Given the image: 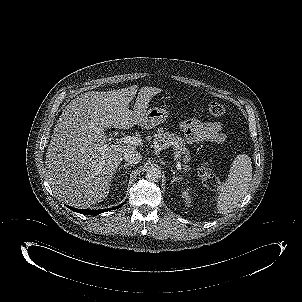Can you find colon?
<instances>
[{
	"label": "colon",
	"instance_id": "colon-1",
	"mask_svg": "<svg viewBox=\"0 0 302 302\" xmlns=\"http://www.w3.org/2000/svg\"><path fill=\"white\" fill-rule=\"evenodd\" d=\"M226 112L223 104L219 102H212L209 105V113L213 117H222ZM200 175L202 177L204 185L209 189H217L220 186L219 179L212 172L208 164H203L200 169Z\"/></svg>",
	"mask_w": 302,
	"mask_h": 302
}]
</instances>
